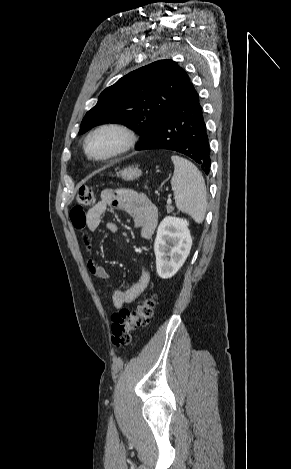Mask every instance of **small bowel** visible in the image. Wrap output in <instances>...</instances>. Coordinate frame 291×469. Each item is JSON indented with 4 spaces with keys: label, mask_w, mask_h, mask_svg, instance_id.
<instances>
[{
    "label": "small bowel",
    "mask_w": 291,
    "mask_h": 469,
    "mask_svg": "<svg viewBox=\"0 0 291 469\" xmlns=\"http://www.w3.org/2000/svg\"><path fill=\"white\" fill-rule=\"evenodd\" d=\"M121 206L128 212L134 222V225L140 229L141 235L145 239H149L156 227L158 215L156 207L152 202L141 193L132 189H119L112 190L106 189L101 192L99 201L91 207L87 212L83 211L82 215L77 218L70 215L71 222L76 229L83 230H96L101 223L105 213L110 207ZM106 228L110 233H115L118 226L113 221L106 223ZM84 243L87 250L91 251V243L87 236H84ZM89 272L96 278L107 280L109 273L100 265L94 258L90 257L87 261ZM150 282L148 269L143 262L141 264L140 277L131 287L125 290H114L112 294V301L116 308H121L125 304L134 302L146 290Z\"/></svg>",
    "instance_id": "c3829d8e"
}]
</instances>
